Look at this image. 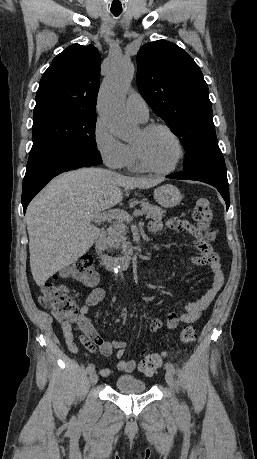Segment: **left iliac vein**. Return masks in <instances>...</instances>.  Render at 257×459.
<instances>
[{"mask_svg": "<svg viewBox=\"0 0 257 459\" xmlns=\"http://www.w3.org/2000/svg\"><path fill=\"white\" fill-rule=\"evenodd\" d=\"M165 380L167 382V384L169 385V387L171 388V390L173 391V388H174V380H173V376H172V373L167 370L166 373H165ZM177 400L175 397H173V405L174 406H177Z\"/></svg>", "mask_w": 257, "mask_h": 459, "instance_id": "4c4485c4", "label": "left iliac vein"}]
</instances>
